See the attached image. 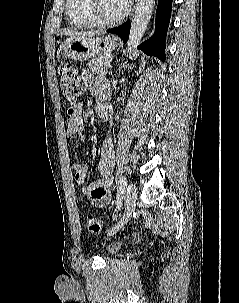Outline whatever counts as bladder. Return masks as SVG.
<instances>
[{
  "label": "bladder",
  "instance_id": "1",
  "mask_svg": "<svg viewBox=\"0 0 239 303\" xmlns=\"http://www.w3.org/2000/svg\"><path fill=\"white\" fill-rule=\"evenodd\" d=\"M121 248L120 243H111L106 246V254L107 255H113L119 251Z\"/></svg>",
  "mask_w": 239,
  "mask_h": 303
}]
</instances>
